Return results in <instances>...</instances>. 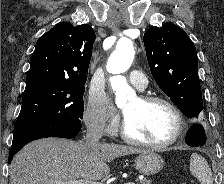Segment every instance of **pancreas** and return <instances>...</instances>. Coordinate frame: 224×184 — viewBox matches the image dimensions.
I'll list each match as a JSON object with an SVG mask.
<instances>
[{
    "label": "pancreas",
    "instance_id": "obj_1",
    "mask_svg": "<svg viewBox=\"0 0 224 184\" xmlns=\"http://www.w3.org/2000/svg\"><path fill=\"white\" fill-rule=\"evenodd\" d=\"M141 184H151V180L147 179L141 180Z\"/></svg>",
    "mask_w": 224,
    "mask_h": 184
}]
</instances>
